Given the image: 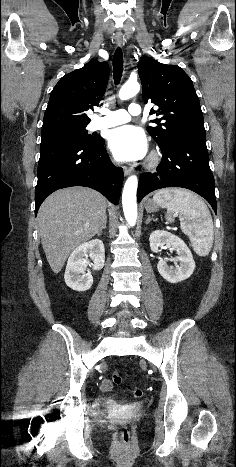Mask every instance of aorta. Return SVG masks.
Returning a JSON list of instances; mask_svg holds the SVG:
<instances>
[{
    "label": "aorta",
    "instance_id": "1",
    "mask_svg": "<svg viewBox=\"0 0 236 467\" xmlns=\"http://www.w3.org/2000/svg\"><path fill=\"white\" fill-rule=\"evenodd\" d=\"M140 91V84L137 81H127L119 91V98L127 100L135 96ZM138 187L137 176H130L124 185L122 193V206L126 221L130 226H134L137 220L136 193Z\"/></svg>",
    "mask_w": 236,
    "mask_h": 467
}]
</instances>
